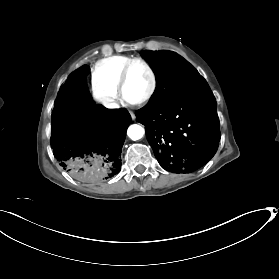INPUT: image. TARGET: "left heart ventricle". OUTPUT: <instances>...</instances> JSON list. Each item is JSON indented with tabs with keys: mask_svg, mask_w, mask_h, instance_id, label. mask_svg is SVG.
Instances as JSON below:
<instances>
[{
	"mask_svg": "<svg viewBox=\"0 0 279 279\" xmlns=\"http://www.w3.org/2000/svg\"><path fill=\"white\" fill-rule=\"evenodd\" d=\"M151 86V77L141 64H135L129 71L125 97L128 101H136L144 97Z\"/></svg>",
	"mask_w": 279,
	"mask_h": 279,
	"instance_id": "left-heart-ventricle-1",
	"label": "left heart ventricle"
}]
</instances>
